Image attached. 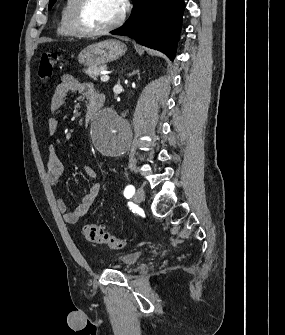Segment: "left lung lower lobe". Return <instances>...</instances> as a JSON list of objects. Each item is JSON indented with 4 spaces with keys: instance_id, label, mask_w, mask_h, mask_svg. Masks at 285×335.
I'll list each match as a JSON object with an SVG mask.
<instances>
[{
    "instance_id": "obj_1",
    "label": "left lung lower lobe",
    "mask_w": 285,
    "mask_h": 335,
    "mask_svg": "<svg viewBox=\"0 0 285 335\" xmlns=\"http://www.w3.org/2000/svg\"><path fill=\"white\" fill-rule=\"evenodd\" d=\"M184 8V0H133L130 17L111 33L133 38L173 60Z\"/></svg>"
}]
</instances>
